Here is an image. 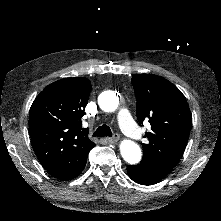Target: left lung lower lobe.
<instances>
[{
	"label": "left lung lower lobe",
	"mask_w": 221,
	"mask_h": 221,
	"mask_svg": "<svg viewBox=\"0 0 221 221\" xmlns=\"http://www.w3.org/2000/svg\"><path fill=\"white\" fill-rule=\"evenodd\" d=\"M127 172L134 182L142 185H152L166 176L144 161L135 166H128Z\"/></svg>",
	"instance_id": "0a47b994"
}]
</instances>
